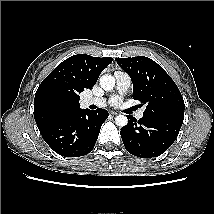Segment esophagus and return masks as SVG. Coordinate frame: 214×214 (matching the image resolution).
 Masks as SVG:
<instances>
[{
	"mask_svg": "<svg viewBox=\"0 0 214 214\" xmlns=\"http://www.w3.org/2000/svg\"><path fill=\"white\" fill-rule=\"evenodd\" d=\"M111 114L115 116V115H117L118 113H117L116 111H112Z\"/></svg>",
	"mask_w": 214,
	"mask_h": 214,
	"instance_id": "1",
	"label": "esophagus"
}]
</instances>
